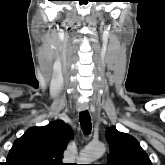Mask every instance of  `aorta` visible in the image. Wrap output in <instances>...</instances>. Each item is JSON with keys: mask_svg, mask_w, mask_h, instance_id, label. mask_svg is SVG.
I'll use <instances>...</instances> for the list:
<instances>
[{"mask_svg": "<svg viewBox=\"0 0 165 165\" xmlns=\"http://www.w3.org/2000/svg\"><path fill=\"white\" fill-rule=\"evenodd\" d=\"M105 152V146L102 143L89 144L79 154V164H91L99 159Z\"/></svg>", "mask_w": 165, "mask_h": 165, "instance_id": "762f6f07", "label": "aorta"}]
</instances>
